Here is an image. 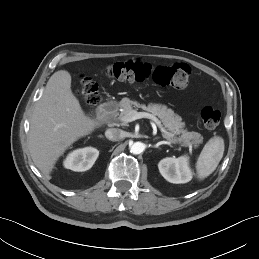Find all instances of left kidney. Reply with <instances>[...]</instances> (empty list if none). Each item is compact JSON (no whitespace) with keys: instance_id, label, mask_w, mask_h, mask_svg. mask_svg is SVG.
<instances>
[{"instance_id":"left-kidney-1","label":"left kidney","mask_w":259,"mask_h":259,"mask_svg":"<svg viewBox=\"0 0 259 259\" xmlns=\"http://www.w3.org/2000/svg\"><path fill=\"white\" fill-rule=\"evenodd\" d=\"M158 168L161 175L170 183H187L192 179L188 156L162 159L158 164Z\"/></svg>"}]
</instances>
